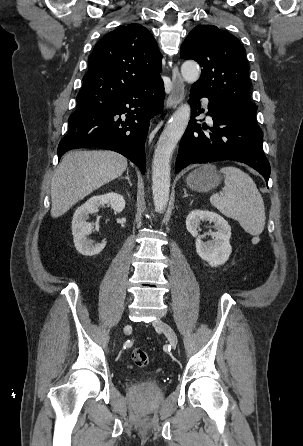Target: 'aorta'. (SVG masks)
<instances>
[{
	"label": "aorta",
	"mask_w": 303,
	"mask_h": 446,
	"mask_svg": "<svg viewBox=\"0 0 303 446\" xmlns=\"http://www.w3.org/2000/svg\"><path fill=\"white\" fill-rule=\"evenodd\" d=\"M181 74L186 82L194 83L200 77V68L197 63L186 61L181 66ZM190 114V105H181L165 126L155 148L152 162V190L154 207L158 213L165 210L169 200L170 160L187 128Z\"/></svg>",
	"instance_id": "obj_1"
}]
</instances>
